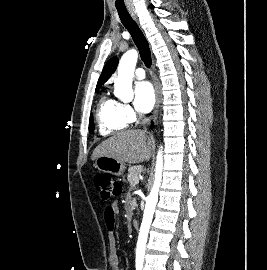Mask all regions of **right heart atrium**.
<instances>
[{
	"label": "right heart atrium",
	"instance_id": "right-heart-atrium-1",
	"mask_svg": "<svg viewBox=\"0 0 267 270\" xmlns=\"http://www.w3.org/2000/svg\"><path fill=\"white\" fill-rule=\"evenodd\" d=\"M121 107V112L123 117L128 121V122H134L137 119V116L135 112L132 110V108L125 103H120Z\"/></svg>",
	"mask_w": 267,
	"mask_h": 270
}]
</instances>
